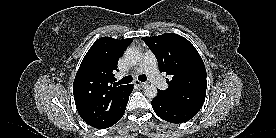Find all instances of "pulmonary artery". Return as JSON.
I'll return each mask as SVG.
<instances>
[{
  "label": "pulmonary artery",
  "instance_id": "e3ab8cb5",
  "mask_svg": "<svg viewBox=\"0 0 276 138\" xmlns=\"http://www.w3.org/2000/svg\"><path fill=\"white\" fill-rule=\"evenodd\" d=\"M135 71L136 73L146 74L149 80L159 89H166L167 83L160 75L157 66V59L150 50L145 51L142 61Z\"/></svg>",
  "mask_w": 276,
  "mask_h": 138
}]
</instances>
